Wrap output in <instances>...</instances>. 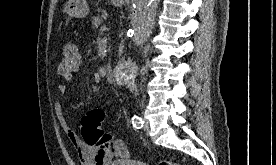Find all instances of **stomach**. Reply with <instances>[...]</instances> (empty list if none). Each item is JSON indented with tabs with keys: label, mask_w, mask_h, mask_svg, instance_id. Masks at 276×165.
I'll return each instance as SVG.
<instances>
[{
	"label": "stomach",
	"mask_w": 276,
	"mask_h": 165,
	"mask_svg": "<svg viewBox=\"0 0 276 165\" xmlns=\"http://www.w3.org/2000/svg\"><path fill=\"white\" fill-rule=\"evenodd\" d=\"M111 3L115 6H122L124 0H111ZM64 12L74 18H84L89 12L88 4L86 0H69L65 7Z\"/></svg>",
	"instance_id": "stomach-1"
}]
</instances>
